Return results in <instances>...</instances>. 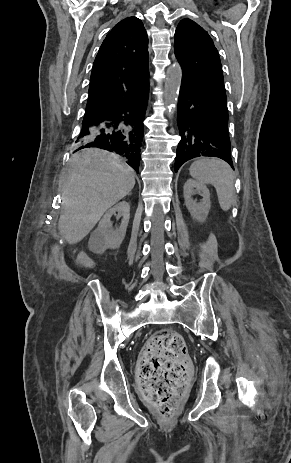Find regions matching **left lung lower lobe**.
<instances>
[{
  "label": "left lung lower lobe",
  "instance_id": "1",
  "mask_svg": "<svg viewBox=\"0 0 291 463\" xmlns=\"http://www.w3.org/2000/svg\"><path fill=\"white\" fill-rule=\"evenodd\" d=\"M177 125L181 140L175 172L186 161L202 156L218 157L233 169L228 134V109L198 88L181 83Z\"/></svg>",
  "mask_w": 291,
  "mask_h": 463
}]
</instances>
